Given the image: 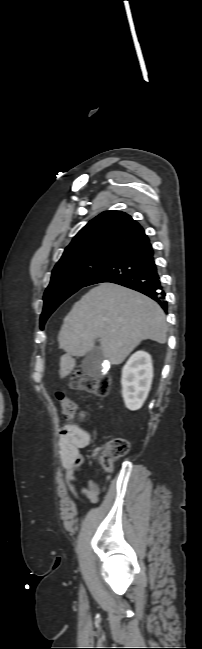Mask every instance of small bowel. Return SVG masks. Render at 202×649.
I'll return each instance as SVG.
<instances>
[{"label":"small bowel","instance_id":"small-bowel-1","mask_svg":"<svg viewBox=\"0 0 202 649\" xmlns=\"http://www.w3.org/2000/svg\"><path fill=\"white\" fill-rule=\"evenodd\" d=\"M90 442V433L77 425L66 424L60 430L59 455L65 470L64 482L71 498L77 503H80V500L73 482L78 481L79 473L85 471L82 449L88 447ZM81 493L93 506L100 499L101 489L93 480H87L81 483Z\"/></svg>","mask_w":202,"mask_h":649}]
</instances>
